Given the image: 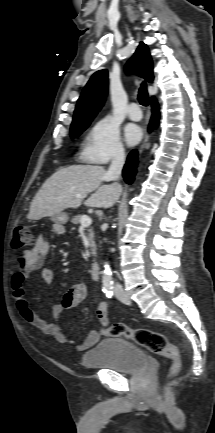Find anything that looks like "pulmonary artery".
Instances as JSON below:
<instances>
[{
    "instance_id": "1",
    "label": "pulmonary artery",
    "mask_w": 215,
    "mask_h": 433,
    "mask_svg": "<svg viewBox=\"0 0 215 433\" xmlns=\"http://www.w3.org/2000/svg\"><path fill=\"white\" fill-rule=\"evenodd\" d=\"M128 116L130 119L138 121L142 118V111L136 102H133L128 107Z\"/></svg>"
}]
</instances>
